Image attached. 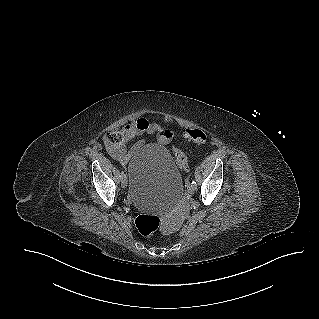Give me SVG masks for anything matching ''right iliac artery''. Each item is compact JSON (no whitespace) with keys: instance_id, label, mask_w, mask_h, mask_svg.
Listing matches in <instances>:
<instances>
[{"instance_id":"82829eb1","label":"right iliac artery","mask_w":319,"mask_h":319,"mask_svg":"<svg viewBox=\"0 0 319 319\" xmlns=\"http://www.w3.org/2000/svg\"><path fill=\"white\" fill-rule=\"evenodd\" d=\"M124 176H125V175H124V172L122 171V174H121V176H120V177H121V178H123Z\"/></svg>"}]
</instances>
